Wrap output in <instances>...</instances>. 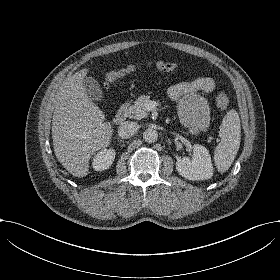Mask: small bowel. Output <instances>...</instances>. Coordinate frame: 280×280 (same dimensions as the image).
Segmentation results:
<instances>
[{
  "label": "small bowel",
  "instance_id": "c3829d8e",
  "mask_svg": "<svg viewBox=\"0 0 280 280\" xmlns=\"http://www.w3.org/2000/svg\"><path fill=\"white\" fill-rule=\"evenodd\" d=\"M215 86L213 78L198 77L172 85L168 89V95L177 104L178 114L184 125L195 128L207 124L209 105L202 92H211Z\"/></svg>",
  "mask_w": 280,
  "mask_h": 280
}]
</instances>
